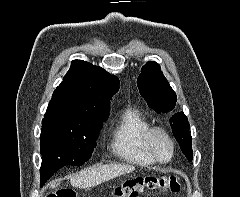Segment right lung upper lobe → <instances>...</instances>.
<instances>
[{"label":"right lung upper lobe","mask_w":240,"mask_h":197,"mask_svg":"<svg viewBox=\"0 0 240 197\" xmlns=\"http://www.w3.org/2000/svg\"><path fill=\"white\" fill-rule=\"evenodd\" d=\"M119 84V79L103 68L73 60L54 91L44 118L103 121L109 114L110 99L119 90Z\"/></svg>","instance_id":"1"}]
</instances>
